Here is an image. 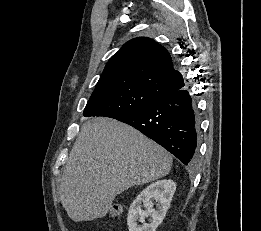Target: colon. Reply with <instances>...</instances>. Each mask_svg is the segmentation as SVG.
<instances>
[{"label":"colon","instance_id":"colon-1","mask_svg":"<svg viewBox=\"0 0 261 231\" xmlns=\"http://www.w3.org/2000/svg\"><path fill=\"white\" fill-rule=\"evenodd\" d=\"M107 214L110 216H118L120 214V209L116 206H112L107 209Z\"/></svg>","mask_w":261,"mask_h":231}]
</instances>
